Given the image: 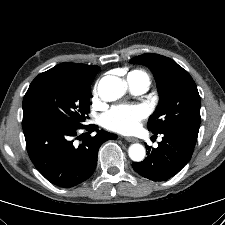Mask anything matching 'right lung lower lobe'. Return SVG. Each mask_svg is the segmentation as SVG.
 I'll return each instance as SVG.
<instances>
[{
    "label": "right lung lower lobe",
    "mask_w": 225,
    "mask_h": 225,
    "mask_svg": "<svg viewBox=\"0 0 225 225\" xmlns=\"http://www.w3.org/2000/svg\"><path fill=\"white\" fill-rule=\"evenodd\" d=\"M23 132L29 157L36 169L52 184L70 188L87 180L95 170L97 154L102 143L116 139L117 135L97 130L96 125L77 128L60 121L31 117L23 119ZM80 129L97 131L78 147L74 140Z\"/></svg>",
    "instance_id": "obj_1"
}]
</instances>
